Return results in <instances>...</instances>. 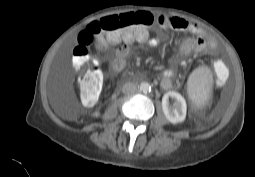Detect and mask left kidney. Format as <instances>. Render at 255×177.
Here are the masks:
<instances>
[{"instance_id": "5707ae66", "label": "left kidney", "mask_w": 255, "mask_h": 177, "mask_svg": "<svg viewBox=\"0 0 255 177\" xmlns=\"http://www.w3.org/2000/svg\"><path fill=\"white\" fill-rule=\"evenodd\" d=\"M169 98L174 99V104H169ZM162 110L169 122L172 124L181 123L185 120L187 105L181 94L169 91L162 98Z\"/></svg>"}]
</instances>
